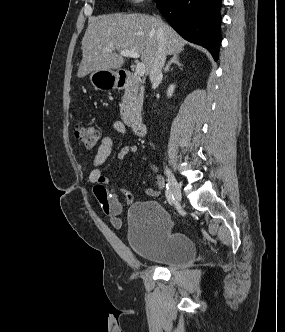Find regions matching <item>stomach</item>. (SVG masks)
<instances>
[{
    "label": "stomach",
    "mask_w": 285,
    "mask_h": 332,
    "mask_svg": "<svg viewBox=\"0 0 285 332\" xmlns=\"http://www.w3.org/2000/svg\"><path fill=\"white\" fill-rule=\"evenodd\" d=\"M89 79L96 90L106 91L118 87L119 73L112 70H96L90 73Z\"/></svg>",
    "instance_id": "1"
}]
</instances>
